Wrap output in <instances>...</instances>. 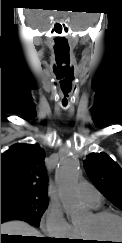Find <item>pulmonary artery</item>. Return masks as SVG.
Instances as JSON below:
<instances>
[{"mask_svg":"<svg viewBox=\"0 0 122 243\" xmlns=\"http://www.w3.org/2000/svg\"><path fill=\"white\" fill-rule=\"evenodd\" d=\"M78 192L90 207H97L101 204V194L93 185L87 182H80L78 184Z\"/></svg>","mask_w":122,"mask_h":243,"instance_id":"pulmonary-artery-1","label":"pulmonary artery"}]
</instances>
